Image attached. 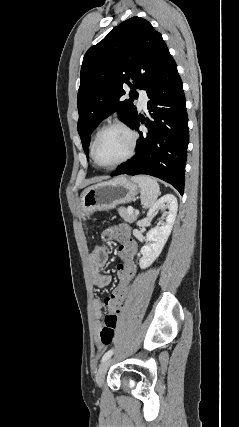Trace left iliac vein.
Wrapping results in <instances>:
<instances>
[{"label":"left iliac vein","instance_id":"1","mask_svg":"<svg viewBox=\"0 0 239 427\" xmlns=\"http://www.w3.org/2000/svg\"><path fill=\"white\" fill-rule=\"evenodd\" d=\"M111 362H112V359H107V360H105V361L100 365V367H99V369H98V372H97L96 377H95V381H96V384H97L99 387H102V385H103V383H104V379H105V376H106L107 370H108V368H109V366H110Z\"/></svg>","mask_w":239,"mask_h":427}]
</instances>
